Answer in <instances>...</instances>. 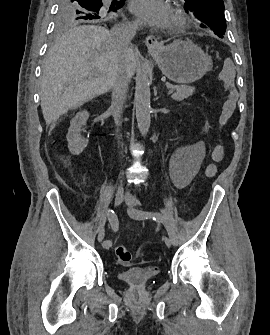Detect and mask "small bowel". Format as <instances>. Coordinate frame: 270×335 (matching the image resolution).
<instances>
[{"mask_svg":"<svg viewBox=\"0 0 270 335\" xmlns=\"http://www.w3.org/2000/svg\"><path fill=\"white\" fill-rule=\"evenodd\" d=\"M50 156H61V149H50ZM205 146L197 142L175 154L171 160L170 175L178 188L185 187L195 176L205 157Z\"/></svg>","mask_w":270,"mask_h":335,"instance_id":"c3829d8e","label":"small bowel"}]
</instances>
